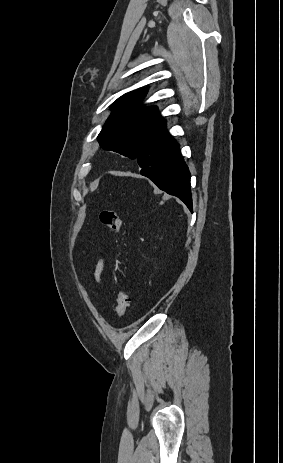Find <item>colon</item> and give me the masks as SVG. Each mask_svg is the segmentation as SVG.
Returning a JSON list of instances; mask_svg holds the SVG:
<instances>
[{"instance_id":"1","label":"colon","mask_w":283,"mask_h":463,"mask_svg":"<svg viewBox=\"0 0 283 463\" xmlns=\"http://www.w3.org/2000/svg\"><path fill=\"white\" fill-rule=\"evenodd\" d=\"M101 222L114 232H120L122 222L118 214L113 210H104L100 214ZM129 305L128 295L123 288L117 294L116 314L118 318H123Z\"/></svg>"}]
</instances>
